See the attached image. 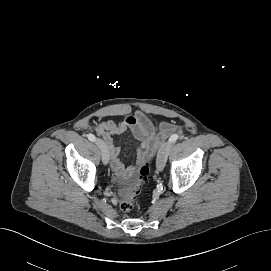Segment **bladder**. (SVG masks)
Returning <instances> with one entry per match:
<instances>
[{
    "mask_svg": "<svg viewBox=\"0 0 271 271\" xmlns=\"http://www.w3.org/2000/svg\"><path fill=\"white\" fill-rule=\"evenodd\" d=\"M131 189L132 188H128L127 186L122 187V189H121V195L123 197H129L131 195Z\"/></svg>",
    "mask_w": 271,
    "mask_h": 271,
    "instance_id": "31cf9c89",
    "label": "bladder"
}]
</instances>
